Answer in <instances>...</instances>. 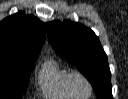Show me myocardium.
Wrapping results in <instances>:
<instances>
[{
  "instance_id": "obj_1",
  "label": "myocardium",
  "mask_w": 128,
  "mask_h": 99,
  "mask_svg": "<svg viewBox=\"0 0 128 99\" xmlns=\"http://www.w3.org/2000/svg\"><path fill=\"white\" fill-rule=\"evenodd\" d=\"M75 79H81L87 84L89 88V94L86 97H80L79 95L76 94L74 87H73V81ZM67 85H68V89L70 90V92L73 94L74 97L89 98L92 95L93 87H92L91 82L83 73L79 71H70L68 78H67Z\"/></svg>"
}]
</instances>
